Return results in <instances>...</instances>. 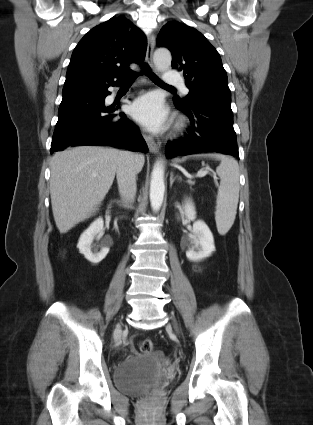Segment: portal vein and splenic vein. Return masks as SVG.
Here are the masks:
<instances>
[{
    "label": "portal vein and splenic vein",
    "instance_id": "obj_1",
    "mask_svg": "<svg viewBox=\"0 0 313 425\" xmlns=\"http://www.w3.org/2000/svg\"><path fill=\"white\" fill-rule=\"evenodd\" d=\"M208 173H209V172H208L207 170L199 171V172L197 173V177H199V178L205 177ZM187 177H188V178H191V176H190V175H187ZM213 177H214V179H216V176H213Z\"/></svg>",
    "mask_w": 313,
    "mask_h": 425
}]
</instances>
